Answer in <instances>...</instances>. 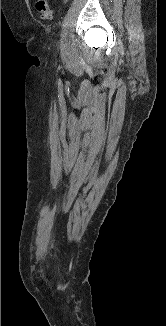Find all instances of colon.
<instances>
[{
    "instance_id": "5ec220e1",
    "label": "colon",
    "mask_w": 166,
    "mask_h": 326,
    "mask_svg": "<svg viewBox=\"0 0 166 326\" xmlns=\"http://www.w3.org/2000/svg\"><path fill=\"white\" fill-rule=\"evenodd\" d=\"M35 6L42 20H50L52 18V10L47 0H37Z\"/></svg>"
}]
</instances>
